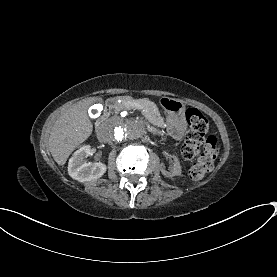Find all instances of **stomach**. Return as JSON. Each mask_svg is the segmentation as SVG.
I'll use <instances>...</instances> for the list:
<instances>
[{
  "label": "stomach",
  "instance_id": "obj_1",
  "mask_svg": "<svg viewBox=\"0 0 277 277\" xmlns=\"http://www.w3.org/2000/svg\"><path fill=\"white\" fill-rule=\"evenodd\" d=\"M160 105L166 113L169 129L174 132L182 131L186 126L185 104L179 99L163 97L160 100Z\"/></svg>",
  "mask_w": 277,
  "mask_h": 277
}]
</instances>
